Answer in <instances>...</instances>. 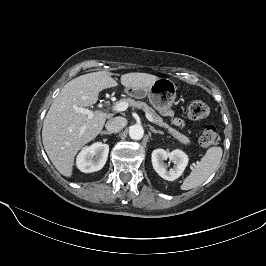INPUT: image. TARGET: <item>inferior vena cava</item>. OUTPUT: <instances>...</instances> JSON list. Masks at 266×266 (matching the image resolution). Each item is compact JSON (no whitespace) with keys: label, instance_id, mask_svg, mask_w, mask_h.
<instances>
[{"label":"inferior vena cava","instance_id":"602c4592","mask_svg":"<svg viewBox=\"0 0 266 266\" xmlns=\"http://www.w3.org/2000/svg\"><path fill=\"white\" fill-rule=\"evenodd\" d=\"M126 125V120L123 117H114L107 121L105 127L110 133L121 131Z\"/></svg>","mask_w":266,"mask_h":266}]
</instances>
